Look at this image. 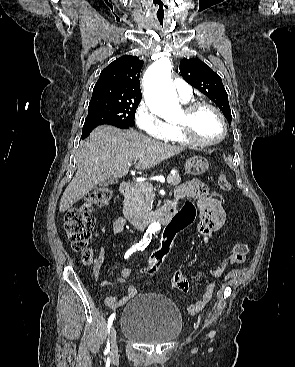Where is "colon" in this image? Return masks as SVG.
Here are the masks:
<instances>
[{
    "label": "colon",
    "instance_id": "5ec220e1",
    "mask_svg": "<svg viewBox=\"0 0 295 367\" xmlns=\"http://www.w3.org/2000/svg\"><path fill=\"white\" fill-rule=\"evenodd\" d=\"M217 183L220 189L229 191L231 183L226 174L222 173L218 176ZM212 195L217 196L221 206H226L228 201L224 199V194L219 193L218 189L212 190ZM111 192L106 188H99L88 194L84 203L77 208H71L67 211L64 218V228L72 248L79 251L82 259L86 264L91 263L93 253L90 247L91 232L94 227V217L92 215L93 208H101L110 200ZM192 196L184 197V206H181V213L176 219H169L168 223L163 226L162 237L159 240V248L156 250L152 263L143 270L146 276H153L159 268L160 262L170 250L171 246L175 245L176 235H179V230L190 225L196 216V203L192 202ZM248 253V245L242 242L236 243L229 257L222 262L224 267L227 263H242ZM174 285V284H173ZM180 290V289H179Z\"/></svg>",
    "mask_w": 295,
    "mask_h": 367
}]
</instances>
